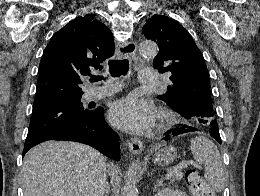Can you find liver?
I'll list each match as a JSON object with an SVG mask.
<instances>
[{
    "mask_svg": "<svg viewBox=\"0 0 260 196\" xmlns=\"http://www.w3.org/2000/svg\"><path fill=\"white\" fill-rule=\"evenodd\" d=\"M20 180L24 196L104 194L106 158L85 144L50 140L27 152Z\"/></svg>",
    "mask_w": 260,
    "mask_h": 196,
    "instance_id": "6515ba94",
    "label": "liver"
}]
</instances>
